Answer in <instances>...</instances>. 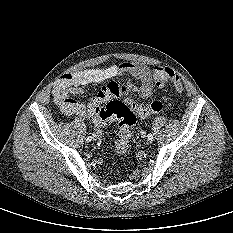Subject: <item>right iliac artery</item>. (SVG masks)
Segmentation results:
<instances>
[{"mask_svg": "<svg viewBox=\"0 0 233 233\" xmlns=\"http://www.w3.org/2000/svg\"><path fill=\"white\" fill-rule=\"evenodd\" d=\"M91 140H92V137H91V136H87V137H86V141H87V142H90Z\"/></svg>", "mask_w": 233, "mask_h": 233, "instance_id": "1", "label": "right iliac artery"}]
</instances>
